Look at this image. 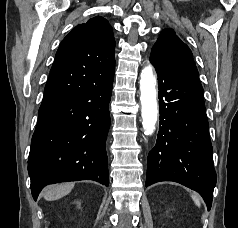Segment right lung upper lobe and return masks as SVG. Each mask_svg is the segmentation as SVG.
Instances as JSON below:
<instances>
[{
  "mask_svg": "<svg viewBox=\"0 0 238 228\" xmlns=\"http://www.w3.org/2000/svg\"><path fill=\"white\" fill-rule=\"evenodd\" d=\"M112 27L100 16L77 25L63 39L50 70L43 101L84 91L114 75Z\"/></svg>",
  "mask_w": 238,
  "mask_h": 228,
  "instance_id": "right-lung-upper-lobe-1",
  "label": "right lung upper lobe"
}]
</instances>
